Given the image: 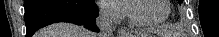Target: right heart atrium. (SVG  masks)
Wrapping results in <instances>:
<instances>
[{
  "mask_svg": "<svg viewBox=\"0 0 219 37\" xmlns=\"http://www.w3.org/2000/svg\"><path fill=\"white\" fill-rule=\"evenodd\" d=\"M101 11L109 19L120 20L124 17V7L119 0H107L100 2Z\"/></svg>",
  "mask_w": 219,
  "mask_h": 37,
  "instance_id": "d8ad5b80",
  "label": "right heart atrium"
}]
</instances>
